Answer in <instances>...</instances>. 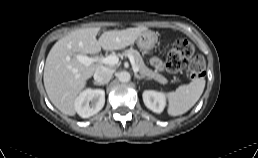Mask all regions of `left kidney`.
Instances as JSON below:
<instances>
[{"instance_id":"5707ae66","label":"left kidney","mask_w":258,"mask_h":158,"mask_svg":"<svg viewBox=\"0 0 258 158\" xmlns=\"http://www.w3.org/2000/svg\"><path fill=\"white\" fill-rule=\"evenodd\" d=\"M143 101L147 108L155 113H161L166 106V96L162 92L146 90L143 92Z\"/></svg>"}]
</instances>
